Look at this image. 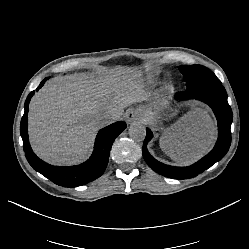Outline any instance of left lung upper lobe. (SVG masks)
<instances>
[{"label":"left lung upper lobe","instance_id":"5c2ea615","mask_svg":"<svg viewBox=\"0 0 249 249\" xmlns=\"http://www.w3.org/2000/svg\"><path fill=\"white\" fill-rule=\"evenodd\" d=\"M186 82V90L208 83H221L216 75L208 68L201 65L179 66Z\"/></svg>","mask_w":249,"mask_h":249}]
</instances>
